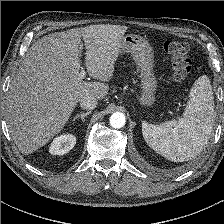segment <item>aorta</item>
<instances>
[{"label":"aorta","instance_id":"obj_1","mask_svg":"<svg viewBox=\"0 0 224 224\" xmlns=\"http://www.w3.org/2000/svg\"><path fill=\"white\" fill-rule=\"evenodd\" d=\"M110 125L113 128H121L125 125V116L121 112H116L110 117Z\"/></svg>","mask_w":224,"mask_h":224}]
</instances>
